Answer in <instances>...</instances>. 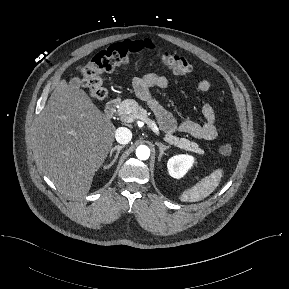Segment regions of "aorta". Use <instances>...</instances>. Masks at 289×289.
<instances>
[{
    "label": "aorta",
    "instance_id": "762f6f07",
    "mask_svg": "<svg viewBox=\"0 0 289 289\" xmlns=\"http://www.w3.org/2000/svg\"><path fill=\"white\" fill-rule=\"evenodd\" d=\"M136 156L140 160H147L150 156V149L146 145H140L136 149Z\"/></svg>",
    "mask_w": 289,
    "mask_h": 289
}]
</instances>
